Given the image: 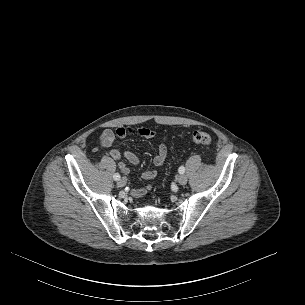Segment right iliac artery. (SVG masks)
<instances>
[{
    "mask_svg": "<svg viewBox=\"0 0 305 305\" xmlns=\"http://www.w3.org/2000/svg\"><path fill=\"white\" fill-rule=\"evenodd\" d=\"M115 181H119L120 180V175L118 173H115L113 176Z\"/></svg>",
    "mask_w": 305,
    "mask_h": 305,
    "instance_id": "82829eb1",
    "label": "right iliac artery"
}]
</instances>
